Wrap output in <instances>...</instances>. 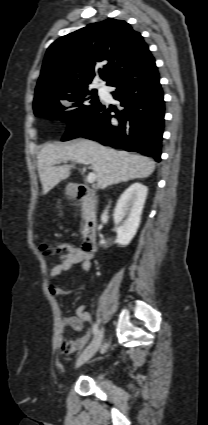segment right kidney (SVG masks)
<instances>
[{
	"instance_id": "obj_1",
	"label": "right kidney",
	"mask_w": 208,
	"mask_h": 425,
	"mask_svg": "<svg viewBox=\"0 0 208 425\" xmlns=\"http://www.w3.org/2000/svg\"><path fill=\"white\" fill-rule=\"evenodd\" d=\"M148 188L141 183H134L120 196L114 210V222L117 227L116 243L127 246L136 235L140 225Z\"/></svg>"
}]
</instances>
